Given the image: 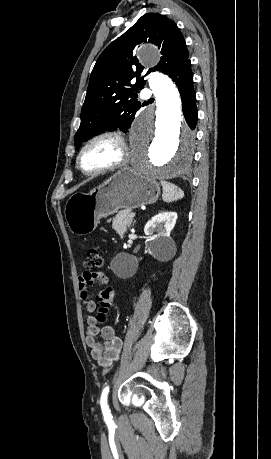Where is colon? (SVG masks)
Listing matches in <instances>:
<instances>
[{
    "instance_id": "1",
    "label": "colon",
    "mask_w": 271,
    "mask_h": 459,
    "mask_svg": "<svg viewBox=\"0 0 271 459\" xmlns=\"http://www.w3.org/2000/svg\"><path fill=\"white\" fill-rule=\"evenodd\" d=\"M102 256L96 248H90L87 251L83 262V267L86 271H94L102 266ZM114 299V293L111 289H104L97 293L96 301L99 306V311L96 316L97 321L105 320V315Z\"/></svg>"
}]
</instances>
